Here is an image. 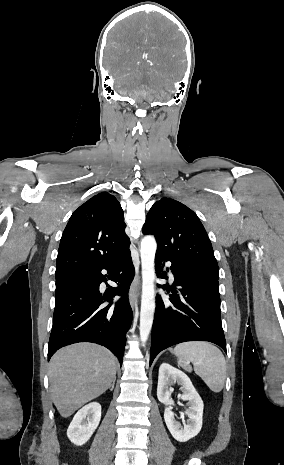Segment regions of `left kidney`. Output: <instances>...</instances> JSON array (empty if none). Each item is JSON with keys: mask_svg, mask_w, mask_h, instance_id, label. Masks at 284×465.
<instances>
[{"mask_svg": "<svg viewBox=\"0 0 284 465\" xmlns=\"http://www.w3.org/2000/svg\"><path fill=\"white\" fill-rule=\"evenodd\" d=\"M172 383L182 385L181 389H183L184 395H182L181 399L182 401H188L189 409H187L186 415L189 419L186 421L187 425L182 427L180 423L175 421V415L170 407H166L164 419L172 437L179 443H186L201 431L204 405L189 377L179 369H174L168 363H162L159 369L157 397L160 403L174 405V401L171 399L172 391L169 389Z\"/></svg>", "mask_w": 284, "mask_h": 465, "instance_id": "left-kidney-1", "label": "left kidney"}]
</instances>
